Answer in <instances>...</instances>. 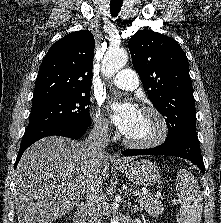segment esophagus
Segmentation results:
<instances>
[{"label": "esophagus", "instance_id": "obj_1", "mask_svg": "<svg viewBox=\"0 0 221 223\" xmlns=\"http://www.w3.org/2000/svg\"><path fill=\"white\" fill-rule=\"evenodd\" d=\"M111 162L115 164H124L125 160L119 153H113L111 156Z\"/></svg>", "mask_w": 221, "mask_h": 223}]
</instances>
